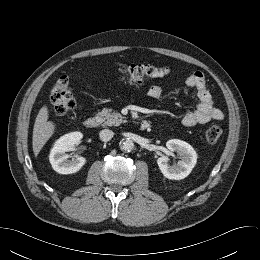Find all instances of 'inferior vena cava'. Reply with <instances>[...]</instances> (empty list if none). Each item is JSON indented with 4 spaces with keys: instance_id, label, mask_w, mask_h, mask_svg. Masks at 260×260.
I'll use <instances>...</instances> for the list:
<instances>
[{
    "instance_id": "602c4592",
    "label": "inferior vena cava",
    "mask_w": 260,
    "mask_h": 260,
    "mask_svg": "<svg viewBox=\"0 0 260 260\" xmlns=\"http://www.w3.org/2000/svg\"><path fill=\"white\" fill-rule=\"evenodd\" d=\"M113 136H114V132L109 129H103L99 133L100 139L104 142L111 140Z\"/></svg>"
}]
</instances>
